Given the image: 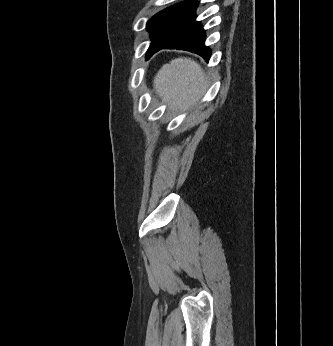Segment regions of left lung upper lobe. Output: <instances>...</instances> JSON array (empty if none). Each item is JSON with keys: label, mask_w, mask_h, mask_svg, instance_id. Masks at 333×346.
Segmentation results:
<instances>
[{"label": "left lung upper lobe", "mask_w": 333, "mask_h": 346, "mask_svg": "<svg viewBox=\"0 0 333 346\" xmlns=\"http://www.w3.org/2000/svg\"><path fill=\"white\" fill-rule=\"evenodd\" d=\"M197 1H184L168 7L147 22V29L151 34L152 43L162 42L181 30L196 15ZM148 49V50H149Z\"/></svg>", "instance_id": "5c2ea615"}]
</instances>
